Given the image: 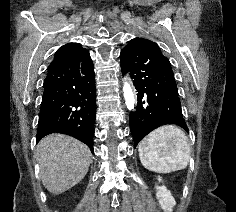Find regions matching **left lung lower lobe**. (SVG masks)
Wrapping results in <instances>:
<instances>
[{
  "instance_id": "0a47b994",
  "label": "left lung lower lobe",
  "mask_w": 236,
  "mask_h": 212,
  "mask_svg": "<svg viewBox=\"0 0 236 212\" xmlns=\"http://www.w3.org/2000/svg\"><path fill=\"white\" fill-rule=\"evenodd\" d=\"M121 69L123 75L129 72L138 92L136 111L130 114L135 147L161 125L176 124L189 132L170 61L156 43L138 37L130 40L121 52Z\"/></svg>"
}]
</instances>
